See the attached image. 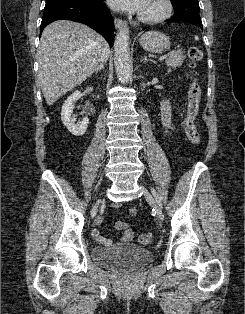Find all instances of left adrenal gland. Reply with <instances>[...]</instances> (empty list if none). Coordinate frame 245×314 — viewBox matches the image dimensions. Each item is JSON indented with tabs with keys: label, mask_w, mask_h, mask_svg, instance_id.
<instances>
[{
	"label": "left adrenal gland",
	"mask_w": 245,
	"mask_h": 314,
	"mask_svg": "<svg viewBox=\"0 0 245 314\" xmlns=\"http://www.w3.org/2000/svg\"><path fill=\"white\" fill-rule=\"evenodd\" d=\"M147 61H152L150 58L148 59L146 56H144L142 59H141V62L143 63H146Z\"/></svg>",
	"instance_id": "1"
}]
</instances>
